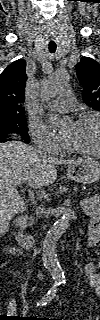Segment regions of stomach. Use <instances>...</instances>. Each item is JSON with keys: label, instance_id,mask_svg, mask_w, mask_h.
Wrapping results in <instances>:
<instances>
[{"label": "stomach", "instance_id": "0dacf381", "mask_svg": "<svg viewBox=\"0 0 100 320\" xmlns=\"http://www.w3.org/2000/svg\"><path fill=\"white\" fill-rule=\"evenodd\" d=\"M67 175L78 183H93L100 179V163L89 157L78 159L75 163L68 165Z\"/></svg>", "mask_w": 100, "mask_h": 320}]
</instances>
